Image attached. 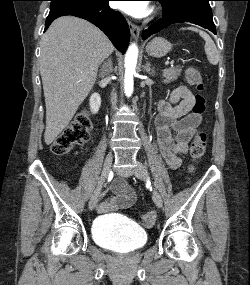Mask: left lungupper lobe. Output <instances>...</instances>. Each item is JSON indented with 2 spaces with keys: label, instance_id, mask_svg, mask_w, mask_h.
<instances>
[{
  "label": "left lung upper lobe",
  "instance_id": "1",
  "mask_svg": "<svg viewBox=\"0 0 250 285\" xmlns=\"http://www.w3.org/2000/svg\"><path fill=\"white\" fill-rule=\"evenodd\" d=\"M159 1L163 6L164 14L174 15L188 9H201L212 12L210 0H155Z\"/></svg>",
  "mask_w": 250,
  "mask_h": 285
}]
</instances>
